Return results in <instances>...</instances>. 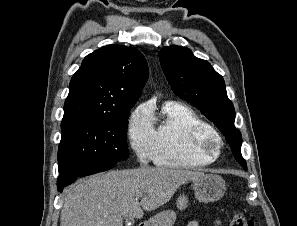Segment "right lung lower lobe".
Instances as JSON below:
<instances>
[{"label":"right lung lower lobe","mask_w":297,"mask_h":226,"mask_svg":"<svg viewBox=\"0 0 297 226\" xmlns=\"http://www.w3.org/2000/svg\"><path fill=\"white\" fill-rule=\"evenodd\" d=\"M114 165L115 164L108 162L96 163L82 167L71 168L63 173H60L57 181L58 191L62 192L65 186L74 182L78 177H84L87 175L106 171L112 168Z\"/></svg>","instance_id":"obj_1"}]
</instances>
